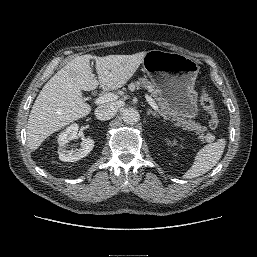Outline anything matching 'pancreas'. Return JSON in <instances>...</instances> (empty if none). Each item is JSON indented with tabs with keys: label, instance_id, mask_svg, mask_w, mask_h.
<instances>
[{
	"label": "pancreas",
	"instance_id": "1",
	"mask_svg": "<svg viewBox=\"0 0 257 257\" xmlns=\"http://www.w3.org/2000/svg\"><path fill=\"white\" fill-rule=\"evenodd\" d=\"M138 87H143L150 91L151 96L160 107L161 115L165 119L173 122L175 126H181L184 130L194 131L198 135V139L201 142H206V136L204 135L206 128L200 126L198 123H195L192 120H186L185 118L179 116L174 110H172L155 84L151 83L147 78H140L138 81L129 85L130 89H135Z\"/></svg>",
	"mask_w": 257,
	"mask_h": 257
}]
</instances>
